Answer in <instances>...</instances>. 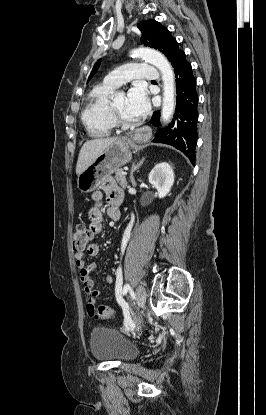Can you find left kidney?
<instances>
[{
  "label": "left kidney",
  "instance_id": "obj_1",
  "mask_svg": "<svg viewBox=\"0 0 266 415\" xmlns=\"http://www.w3.org/2000/svg\"><path fill=\"white\" fill-rule=\"evenodd\" d=\"M149 183L152 184L159 198H164L169 194L174 184V171L167 162L157 164L149 174Z\"/></svg>",
  "mask_w": 266,
  "mask_h": 415
}]
</instances>
